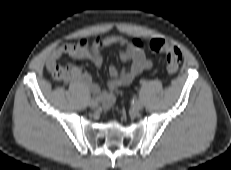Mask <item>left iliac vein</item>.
I'll return each mask as SVG.
<instances>
[{"mask_svg":"<svg viewBox=\"0 0 231 170\" xmlns=\"http://www.w3.org/2000/svg\"><path fill=\"white\" fill-rule=\"evenodd\" d=\"M143 107H144V103L141 100H137L133 104V109L135 111H141L143 109Z\"/></svg>","mask_w":231,"mask_h":170,"instance_id":"4c4485c4","label":"left iliac vein"}]
</instances>
